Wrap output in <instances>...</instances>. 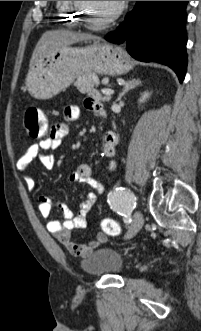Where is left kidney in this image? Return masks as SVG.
I'll return each mask as SVG.
<instances>
[{
  "instance_id": "5707ae66",
  "label": "left kidney",
  "mask_w": 201,
  "mask_h": 331,
  "mask_svg": "<svg viewBox=\"0 0 201 331\" xmlns=\"http://www.w3.org/2000/svg\"><path fill=\"white\" fill-rule=\"evenodd\" d=\"M149 95H150L149 93H145L144 95H142L139 102L143 103L147 98H149Z\"/></svg>"
}]
</instances>
